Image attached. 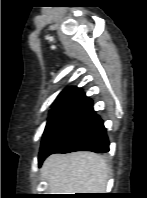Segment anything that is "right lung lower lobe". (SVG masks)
Segmentation results:
<instances>
[{
	"instance_id": "98d812e1",
	"label": "right lung lower lobe",
	"mask_w": 147,
	"mask_h": 198,
	"mask_svg": "<svg viewBox=\"0 0 147 198\" xmlns=\"http://www.w3.org/2000/svg\"><path fill=\"white\" fill-rule=\"evenodd\" d=\"M73 151H109L103 121L95 114L89 98L74 107L64 122L44 142L39 153V164L50 154Z\"/></svg>"
}]
</instances>
